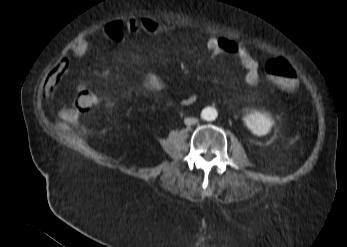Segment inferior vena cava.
<instances>
[{
    "mask_svg": "<svg viewBox=\"0 0 347 247\" xmlns=\"http://www.w3.org/2000/svg\"><path fill=\"white\" fill-rule=\"evenodd\" d=\"M184 123L186 125H193V124L197 123V119L194 117H188V118L184 119Z\"/></svg>",
    "mask_w": 347,
    "mask_h": 247,
    "instance_id": "1",
    "label": "inferior vena cava"
}]
</instances>
